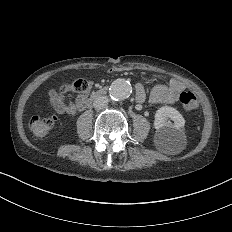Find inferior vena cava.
<instances>
[{
	"instance_id": "602c4592",
	"label": "inferior vena cava",
	"mask_w": 232,
	"mask_h": 232,
	"mask_svg": "<svg viewBox=\"0 0 232 232\" xmlns=\"http://www.w3.org/2000/svg\"><path fill=\"white\" fill-rule=\"evenodd\" d=\"M108 104V98L101 96L98 97L94 102H93V107L97 110V111H102Z\"/></svg>"
}]
</instances>
